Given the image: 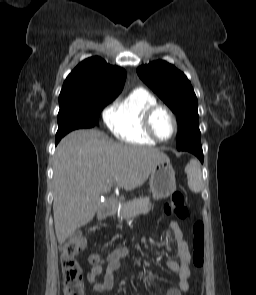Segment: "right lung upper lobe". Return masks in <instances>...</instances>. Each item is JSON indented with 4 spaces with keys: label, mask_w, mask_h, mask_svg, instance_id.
Segmentation results:
<instances>
[{
    "label": "right lung upper lobe",
    "mask_w": 256,
    "mask_h": 295,
    "mask_svg": "<svg viewBox=\"0 0 256 295\" xmlns=\"http://www.w3.org/2000/svg\"><path fill=\"white\" fill-rule=\"evenodd\" d=\"M126 79L124 69L107 64L100 57H91L67 76L59 105H72L104 97H117Z\"/></svg>",
    "instance_id": "1"
}]
</instances>
